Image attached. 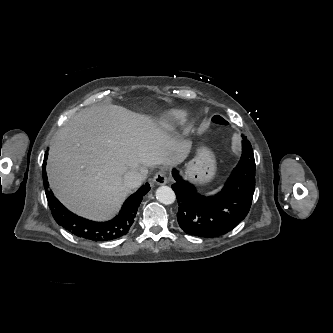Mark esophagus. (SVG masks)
<instances>
[{"mask_svg": "<svg viewBox=\"0 0 333 333\" xmlns=\"http://www.w3.org/2000/svg\"><path fill=\"white\" fill-rule=\"evenodd\" d=\"M154 182L158 185H164L167 183L166 172L161 170L157 172L154 176Z\"/></svg>", "mask_w": 333, "mask_h": 333, "instance_id": "esophagus-1", "label": "esophagus"}]
</instances>
